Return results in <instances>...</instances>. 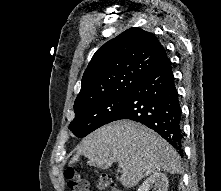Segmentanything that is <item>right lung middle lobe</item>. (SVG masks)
Listing matches in <instances>:
<instances>
[{
    "mask_svg": "<svg viewBox=\"0 0 221 191\" xmlns=\"http://www.w3.org/2000/svg\"><path fill=\"white\" fill-rule=\"evenodd\" d=\"M130 94L131 91L123 92L75 111V119L70 123L69 129L74 135L84 137L97 128L115 121Z\"/></svg>",
    "mask_w": 221,
    "mask_h": 191,
    "instance_id": "right-lung-middle-lobe-1",
    "label": "right lung middle lobe"
}]
</instances>
